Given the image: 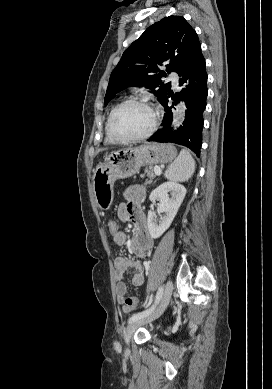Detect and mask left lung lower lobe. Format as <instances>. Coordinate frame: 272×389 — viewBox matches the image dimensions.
<instances>
[{
    "label": "left lung lower lobe",
    "mask_w": 272,
    "mask_h": 389,
    "mask_svg": "<svg viewBox=\"0 0 272 389\" xmlns=\"http://www.w3.org/2000/svg\"><path fill=\"white\" fill-rule=\"evenodd\" d=\"M179 86L185 84V88L176 97L179 100L184 99L187 104L186 118L177 131H172V110L168 106V98L172 97L168 93L165 100L161 103L166 111L162 122V129L154 133L148 141L171 142L184 145L193 152L200 155L202 144L203 111L206 107V97L208 89L206 87L207 73L205 70V59L201 52V46L192 55L191 59L178 74ZM173 103V104H175Z\"/></svg>",
    "instance_id": "obj_1"
}]
</instances>
